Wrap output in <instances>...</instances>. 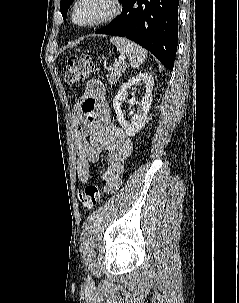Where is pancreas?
Returning <instances> with one entry per match:
<instances>
[{
	"mask_svg": "<svg viewBox=\"0 0 239 303\" xmlns=\"http://www.w3.org/2000/svg\"><path fill=\"white\" fill-rule=\"evenodd\" d=\"M126 69V64L125 63H120L119 66L113 67L111 69V72L107 74V80L110 84H114L118 81V79L121 77L122 73Z\"/></svg>",
	"mask_w": 239,
	"mask_h": 303,
	"instance_id": "pancreas-1",
	"label": "pancreas"
}]
</instances>
